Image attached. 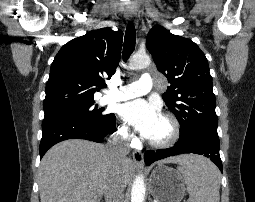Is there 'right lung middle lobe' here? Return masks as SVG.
Here are the masks:
<instances>
[{
  "mask_svg": "<svg viewBox=\"0 0 255 202\" xmlns=\"http://www.w3.org/2000/svg\"><path fill=\"white\" fill-rule=\"evenodd\" d=\"M113 114H102L101 109L94 106V102L76 105L50 113H46L44 119L58 117H78L83 118L98 126H105L112 118Z\"/></svg>",
  "mask_w": 255,
  "mask_h": 202,
  "instance_id": "right-lung-middle-lobe-1",
  "label": "right lung middle lobe"
}]
</instances>
